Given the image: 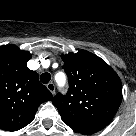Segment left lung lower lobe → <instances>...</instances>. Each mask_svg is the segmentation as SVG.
Instances as JSON below:
<instances>
[{"instance_id":"obj_1","label":"left lung lower lobe","mask_w":136,"mask_h":136,"mask_svg":"<svg viewBox=\"0 0 136 136\" xmlns=\"http://www.w3.org/2000/svg\"><path fill=\"white\" fill-rule=\"evenodd\" d=\"M99 130H101V128H83V129L78 130L77 132L82 133V134H93Z\"/></svg>"}]
</instances>
